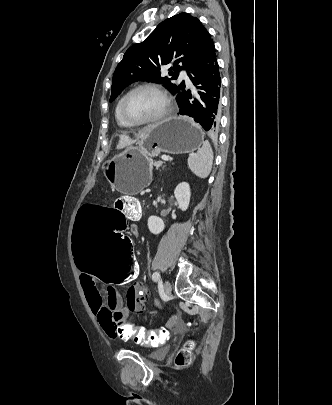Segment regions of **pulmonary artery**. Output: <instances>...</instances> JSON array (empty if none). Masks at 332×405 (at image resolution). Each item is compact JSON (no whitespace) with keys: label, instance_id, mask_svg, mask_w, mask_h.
I'll use <instances>...</instances> for the list:
<instances>
[{"label":"pulmonary artery","instance_id":"1","mask_svg":"<svg viewBox=\"0 0 332 405\" xmlns=\"http://www.w3.org/2000/svg\"><path fill=\"white\" fill-rule=\"evenodd\" d=\"M180 79L185 80V82L187 84H191V81H190L189 77L187 76V74L184 71H182L180 73Z\"/></svg>","mask_w":332,"mask_h":405}]
</instances>
